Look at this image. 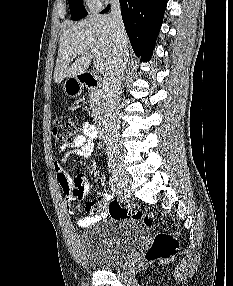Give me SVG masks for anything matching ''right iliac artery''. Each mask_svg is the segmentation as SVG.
<instances>
[{
    "label": "right iliac artery",
    "mask_w": 233,
    "mask_h": 286,
    "mask_svg": "<svg viewBox=\"0 0 233 286\" xmlns=\"http://www.w3.org/2000/svg\"><path fill=\"white\" fill-rule=\"evenodd\" d=\"M109 184H110V187H111V190H112L113 194L118 193V191H119V184L117 183V180L114 178V176L110 177Z\"/></svg>",
    "instance_id": "obj_1"
}]
</instances>
